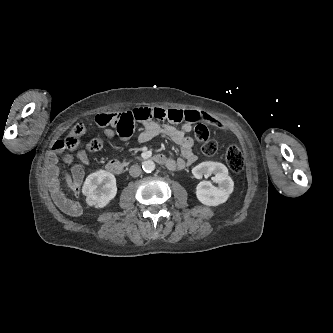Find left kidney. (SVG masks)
<instances>
[{"label": "left kidney", "instance_id": "1", "mask_svg": "<svg viewBox=\"0 0 333 333\" xmlns=\"http://www.w3.org/2000/svg\"><path fill=\"white\" fill-rule=\"evenodd\" d=\"M195 178L212 177L217 186H213L210 181H201L196 188L198 200L207 206H218L227 201L233 191V180L229 176L227 167L219 162L206 161L192 169Z\"/></svg>", "mask_w": 333, "mask_h": 333}]
</instances>
